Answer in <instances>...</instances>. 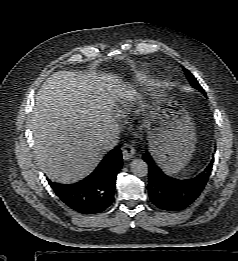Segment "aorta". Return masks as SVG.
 Masks as SVG:
<instances>
[{"label":"aorta","instance_id":"1","mask_svg":"<svg viewBox=\"0 0 238 261\" xmlns=\"http://www.w3.org/2000/svg\"><path fill=\"white\" fill-rule=\"evenodd\" d=\"M130 169L137 177H145L148 174V165L142 159H134L130 164Z\"/></svg>","mask_w":238,"mask_h":261}]
</instances>
